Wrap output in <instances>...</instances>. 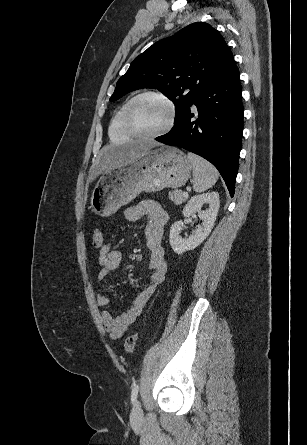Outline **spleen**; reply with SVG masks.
I'll return each instance as SVG.
<instances>
[{
	"mask_svg": "<svg viewBox=\"0 0 307 445\" xmlns=\"http://www.w3.org/2000/svg\"><path fill=\"white\" fill-rule=\"evenodd\" d=\"M188 158H190L192 164L195 192H204L217 182L219 172L211 162H208L202 156H198V154H193V152H188Z\"/></svg>",
	"mask_w": 307,
	"mask_h": 445,
	"instance_id": "1",
	"label": "spleen"
}]
</instances>
